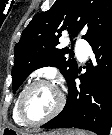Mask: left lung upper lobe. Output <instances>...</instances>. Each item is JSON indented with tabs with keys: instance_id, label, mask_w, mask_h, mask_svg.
<instances>
[{
	"instance_id": "obj_1",
	"label": "left lung upper lobe",
	"mask_w": 112,
	"mask_h": 135,
	"mask_svg": "<svg viewBox=\"0 0 112 135\" xmlns=\"http://www.w3.org/2000/svg\"><path fill=\"white\" fill-rule=\"evenodd\" d=\"M111 21L112 0H56L48 11L36 14L14 48L13 92L31 72L45 66L59 68L68 82L78 66L74 59L65 57L71 52L68 47L57 48L62 32L76 38L82 30L86 31L82 38L90 44Z\"/></svg>"
}]
</instances>
